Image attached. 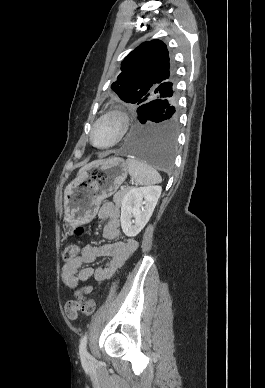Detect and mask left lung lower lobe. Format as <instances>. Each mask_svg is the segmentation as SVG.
Returning <instances> with one entry per match:
<instances>
[{"label":"left lung lower lobe","instance_id":"left-lung-lower-lobe-1","mask_svg":"<svg viewBox=\"0 0 265 388\" xmlns=\"http://www.w3.org/2000/svg\"><path fill=\"white\" fill-rule=\"evenodd\" d=\"M176 105L177 92L174 89L166 93V99H155L139 106L122 151L159 170L171 169L178 124Z\"/></svg>","mask_w":265,"mask_h":388}]
</instances>
